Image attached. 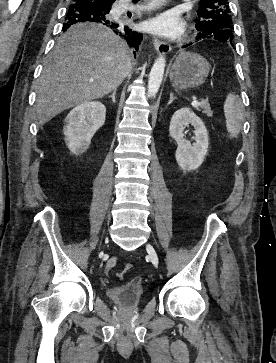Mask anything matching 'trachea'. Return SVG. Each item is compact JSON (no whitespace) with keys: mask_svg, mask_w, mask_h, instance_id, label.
Returning <instances> with one entry per match:
<instances>
[{"mask_svg":"<svg viewBox=\"0 0 276 363\" xmlns=\"http://www.w3.org/2000/svg\"><path fill=\"white\" fill-rule=\"evenodd\" d=\"M139 0H133V2L137 3Z\"/></svg>","mask_w":276,"mask_h":363,"instance_id":"3493384b","label":"trachea"}]
</instances>
